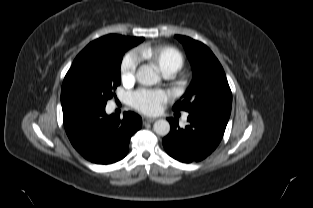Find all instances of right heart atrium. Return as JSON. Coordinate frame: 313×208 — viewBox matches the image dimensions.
<instances>
[{
  "label": "right heart atrium",
  "instance_id": "d8ad5b80",
  "mask_svg": "<svg viewBox=\"0 0 313 208\" xmlns=\"http://www.w3.org/2000/svg\"><path fill=\"white\" fill-rule=\"evenodd\" d=\"M138 63L139 57L136 53H129L123 58L120 66V74L123 82L134 80Z\"/></svg>",
  "mask_w": 313,
  "mask_h": 208
}]
</instances>
